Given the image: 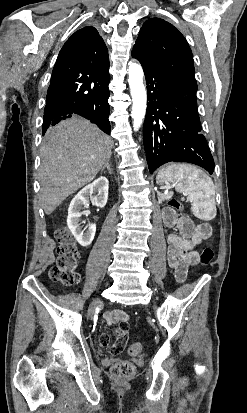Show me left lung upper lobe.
<instances>
[{
	"label": "left lung upper lobe",
	"mask_w": 247,
	"mask_h": 413,
	"mask_svg": "<svg viewBox=\"0 0 247 413\" xmlns=\"http://www.w3.org/2000/svg\"><path fill=\"white\" fill-rule=\"evenodd\" d=\"M132 55L197 89L191 49L184 36L167 21L160 18L148 19L140 30Z\"/></svg>",
	"instance_id": "left-lung-upper-lobe-1"
}]
</instances>
